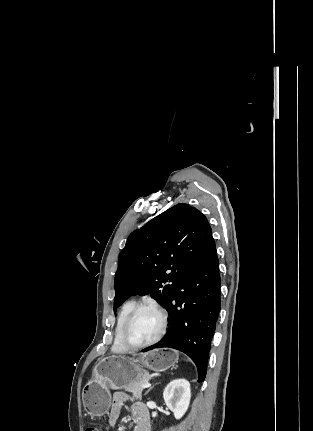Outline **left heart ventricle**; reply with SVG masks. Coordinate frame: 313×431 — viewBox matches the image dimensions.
Returning <instances> with one entry per match:
<instances>
[{
    "mask_svg": "<svg viewBox=\"0 0 313 431\" xmlns=\"http://www.w3.org/2000/svg\"><path fill=\"white\" fill-rule=\"evenodd\" d=\"M160 324V316L155 310L143 309L135 317L128 332V338L134 344L148 342L156 336Z\"/></svg>",
    "mask_w": 313,
    "mask_h": 431,
    "instance_id": "1",
    "label": "left heart ventricle"
}]
</instances>
